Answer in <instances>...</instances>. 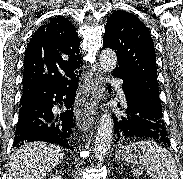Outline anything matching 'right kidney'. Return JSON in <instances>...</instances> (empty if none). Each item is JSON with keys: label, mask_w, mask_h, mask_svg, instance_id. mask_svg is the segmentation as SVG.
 I'll use <instances>...</instances> for the list:
<instances>
[{"label": "right kidney", "mask_w": 183, "mask_h": 179, "mask_svg": "<svg viewBox=\"0 0 183 179\" xmlns=\"http://www.w3.org/2000/svg\"><path fill=\"white\" fill-rule=\"evenodd\" d=\"M50 179H62L61 176H52Z\"/></svg>", "instance_id": "1"}]
</instances>
